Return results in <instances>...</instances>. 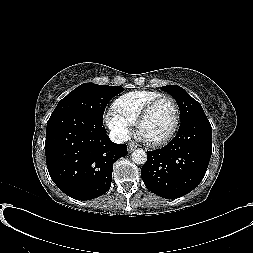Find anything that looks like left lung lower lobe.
<instances>
[{"mask_svg":"<svg viewBox=\"0 0 253 253\" xmlns=\"http://www.w3.org/2000/svg\"><path fill=\"white\" fill-rule=\"evenodd\" d=\"M212 153V127L207 117L189 119L162 149L147 151L141 168L145 186L162 198L184 196L203 179Z\"/></svg>","mask_w":253,"mask_h":253,"instance_id":"left-lung-lower-lobe-1","label":"left lung lower lobe"}]
</instances>
